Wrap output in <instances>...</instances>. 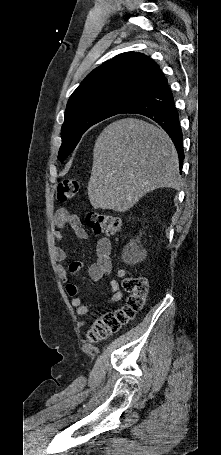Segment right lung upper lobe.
Here are the masks:
<instances>
[{"label":"right lung upper lobe","instance_id":"obj_1","mask_svg":"<svg viewBox=\"0 0 221 455\" xmlns=\"http://www.w3.org/2000/svg\"><path fill=\"white\" fill-rule=\"evenodd\" d=\"M162 75L149 57L119 54L94 69L70 96L65 114L92 103L111 102L124 109L145 96Z\"/></svg>","mask_w":221,"mask_h":455}]
</instances>
